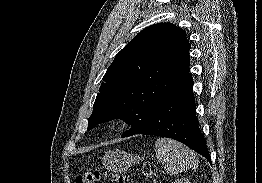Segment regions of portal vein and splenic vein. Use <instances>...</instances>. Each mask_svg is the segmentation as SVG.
<instances>
[{
  "label": "portal vein and splenic vein",
  "instance_id": "obj_1",
  "mask_svg": "<svg viewBox=\"0 0 262 183\" xmlns=\"http://www.w3.org/2000/svg\"><path fill=\"white\" fill-rule=\"evenodd\" d=\"M156 173L150 172V175H155Z\"/></svg>",
  "mask_w": 262,
  "mask_h": 183
}]
</instances>
